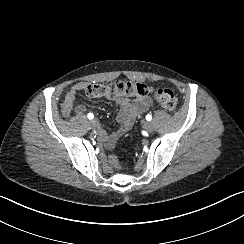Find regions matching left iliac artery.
Returning <instances> with one entry per match:
<instances>
[{"label": "left iliac artery", "instance_id": "1", "mask_svg": "<svg viewBox=\"0 0 244 244\" xmlns=\"http://www.w3.org/2000/svg\"><path fill=\"white\" fill-rule=\"evenodd\" d=\"M152 119V116L150 114L146 115V120L150 121Z\"/></svg>", "mask_w": 244, "mask_h": 244}]
</instances>
